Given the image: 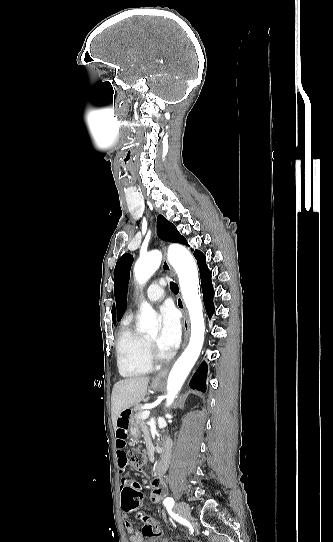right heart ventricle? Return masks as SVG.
Listing matches in <instances>:
<instances>
[{
	"label": "right heart ventricle",
	"instance_id": "e07e8e85",
	"mask_svg": "<svg viewBox=\"0 0 333 542\" xmlns=\"http://www.w3.org/2000/svg\"><path fill=\"white\" fill-rule=\"evenodd\" d=\"M145 337L137 324H127L116 336L118 369L122 376L134 378L148 373L153 364L145 354Z\"/></svg>",
	"mask_w": 333,
	"mask_h": 542
}]
</instances>
